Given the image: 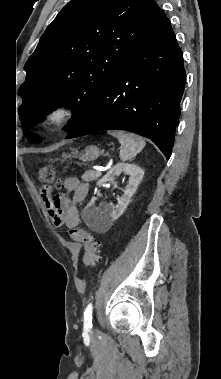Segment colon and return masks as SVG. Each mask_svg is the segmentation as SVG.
Wrapping results in <instances>:
<instances>
[{
	"label": "colon",
	"mask_w": 221,
	"mask_h": 379,
	"mask_svg": "<svg viewBox=\"0 0 221 379\" xmlns=\"http://www.w3.org/2000/svg\"><path fill=\"white\" fill-rule=\"evenodd\" d=\"M36 177L38 181L44 185L43 192L49 191L52 186H59L55 169L50 165L40 167L36 171ZM70 236L74 241L80 242L84 245L85 253L83 262L85 266H93L99 261L100 241L94 235L82 228L76 227L70 229Z\"/></svg>",
	"instance_id": "colon-1"
}]
</instances>
